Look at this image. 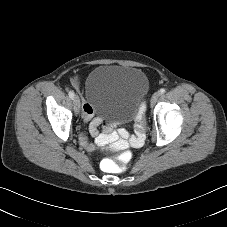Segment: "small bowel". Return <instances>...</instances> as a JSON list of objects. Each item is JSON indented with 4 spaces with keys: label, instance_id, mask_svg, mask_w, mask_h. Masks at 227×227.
Instances as JSON below:
<instances>
[{
    "label": "small bowel",
    "instance_id": "obj_1",
    "mask_svg": "<svg viewBox=\"0 0 227 227\" xmlns=\"http://www.w3.org/2000/svg\"><path fill=\"white\" fill-rule=\"evenodd\" d=\"M82 110L84 123L87 125L89 135L94 140H90L88 134L82 132L79 142L89 152L107 143L118 150H126L129 147L138 148L145 141V130L143 128H138L136 134L131 136L125 129L116 130L112 125L104 124L103 132L98 133V127L101 125L102 120L94 116L95 111L92 105L88 102H83Z\"/></svg>",
    "mask_w": 227,
    "mask_h": 227
}]
</instances>
